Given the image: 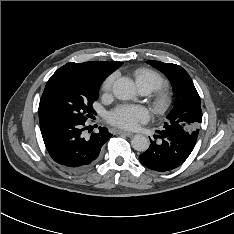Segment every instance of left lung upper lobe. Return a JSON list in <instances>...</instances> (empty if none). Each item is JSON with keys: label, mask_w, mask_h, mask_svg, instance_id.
Masks as SVG:
<instances>
[{"label": "left lung upper lobe", "mask_w": 234, "mask_h": 234, "mask_svg": "<svg viewBox=\"0 0 234 234\" xmlns=\"http://www.w3.org/2000/svg\"><path fill=\"white\" fill-rule=\"evenodd\" d=\"M147 63L164 73L175 90V107L168 115L164 129L182 134L190 142L196 143L202 122V110L199 94L189 74L176 64L153 60Z\"/></svg>", "instance_id": "obj_1"}]
</instances>
